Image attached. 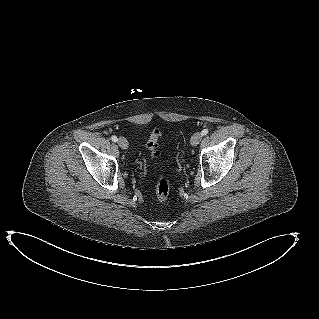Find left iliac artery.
Masks as SVG:
<instances>
[{"label": "left iliac artery", "mask_w": 319, "mask_h": 319, "mask_svg": "<svg viewBox=\"0 0 319 319\" xmlns=\"http://www.w3.org/2000/svg\"><path fill=\"white\" fill-rule=\"evenodd\" d=\"M208 132H209L208 129H204V130H202L201 135L205 136L208 134Z\"/></svg>", "instance_id": "left-iliac-artery-1"}]
</instances>
